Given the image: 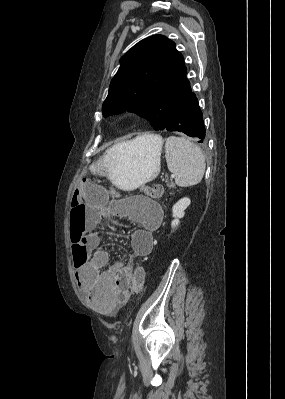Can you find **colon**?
<instances>
[{
  "mask_svg": "<svg viewBox=\"0 0 285 399\" xmlns=\"http://www.w3.org/2000/svg\"><path fill=\"white\" fill-rule=\"evenodd\" d=\"M76 189L78 191L85 192V193H94L96 196L102 195L101 191L97 188V184L92 180L80 182L77 185ZM141 190L145 195L152 197L154 199L160 198L164 195V188L160 184L145 185L141 188ZM109 194L111 196H116L117 195L116 189H112L109 192ZM79 211H80L79 207L76 206L73 208L72 215H71L72 220L76 221V220H79L82 218V215L80 214ZM82 262H83V259L77 260L76 265L78 266ZM144 279H145V276H144L143 268L140 264H138L135 267L134 274H133V288L136 291L140 292L142 290V287L144 284Z\"/></svg>",
  "mask_w": 285,
  "mask_h": 399,
  "instance_id": "obj_1",
  "label": "colon"
}]
</instances>
